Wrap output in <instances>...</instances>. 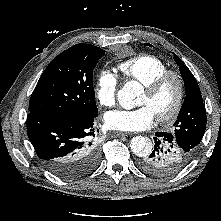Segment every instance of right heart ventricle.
Masks as SVG:
<instances>
[{
    "label": "right heart ventricle",
    "instance_id": "1",
    "mask_svg": "<svg viewBox=\"0 0 221 221\" xmlns=\"http://www.w3.org/2000/svg\"><path fill=\"white\" fill-rule=\"evenodd\" d=\"M118 70L124 78L146 85L167 71L168 66L156 56L142 54L120 63Z\"/></svg>",
    "mask_w": 221,
    "mask_h": 221
}]
</instances>
